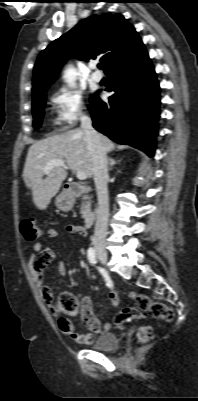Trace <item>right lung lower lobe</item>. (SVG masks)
I'll return each instance as SVG.
<instances>
[{
    "instance_id": "1",
    "label": "right lung lower lobe",
    "mask_w": 198,
    "mask_h": 401,
    "mask_svg": "<svg viewBox=\"0 0 198 401\" xmlns=\"http://www.w3.org/2000/svg\"><path fill=\"white\" fill-rule=\"evenodd\" d=\"M113 81L109 103L98 96L89 111L93 127L120 144H128L153 156L160 89L154 67L143 44L111 67Z\"/></svg>"
}]
</instances>
